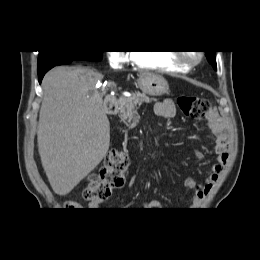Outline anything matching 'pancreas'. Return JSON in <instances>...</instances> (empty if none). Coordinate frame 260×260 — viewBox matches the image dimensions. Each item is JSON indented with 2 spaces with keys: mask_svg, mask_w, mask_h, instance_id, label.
Here are the masks:
<instances>
[{
  "mask_svg": "<svg viewBox=\"0 0 260 260\" xmlns=\"http://www.w3.org/2000/svg\"><path fill=\"white\" fill-rule=\"evenodd\" d=\"M155 99L149 98L146 94L135 92L130 97H121L118 100L119 113L121 120L125 123L132 120L134 113H136L137 105H141L143 102L150 103Z\"/></svg>",
  "mask_w": 260,
  "mask_h": 260,
  "instance_id": "pancreas-1",
  "label": "pancreas"
}]
</instances>
